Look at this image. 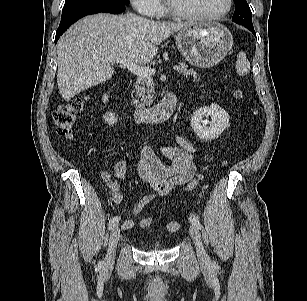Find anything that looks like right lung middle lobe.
Wrapping results in <instances>:
<instances>
[{
    "label": "right lung middle lobe",
    "mask_w": 307,
    "mask_h": 301,
    "mask_svg": "<svg viewBox=\"0 0 307 301\" xmlns=\"http://www.w3.org/2000/svg\"><path fill=\"white\" fill-rule=\"evenodd\" d=\"M99 3H114L120 5H127L128 0H66L62 9V13Z\"/></svg>",
    "instance_id": "right-lung-middle-lobe-1"
}]
</instances>
